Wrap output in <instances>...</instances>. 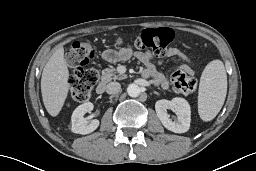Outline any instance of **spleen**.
Masks as SVG:
<instances>
[{
	"mask_svg": "<svg viewBox=\"0 0 256 171\" xmlns=\"http://www.w3.org/2000/svg\"><path fill=\"white\" fill-rule=\"evenodd\" d=\"M227 94V74L221 60L209 62L202 72L198 90V113L205 121L213 120L221 110Z\"/></svg>",
	"mask_w": 256,
	"mask_h": 171,
	"instance_id": "3e777b00",
	"label": "spleen"
}]
</instances>
